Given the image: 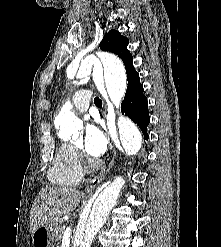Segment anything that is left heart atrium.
Instances as JSON below:
<instances>
[{
  "instance_id": "obj_1",
  "label": "left heart atrium",
  "mask_w": 221,
  "mask_h": 247,
  "mask_svg": "<svg viewBox=\"0 0 221 247\" xmlns=\"http://www.w3.org/2000/svg\"><path fill=\"white\" fill-rule=\"evenodd\" d=\"M108 139L101 127L96 121H90L85 127L84 148L86 152L93 156L99 157L107 149Z\"/></svg>"
}]
</instances>
